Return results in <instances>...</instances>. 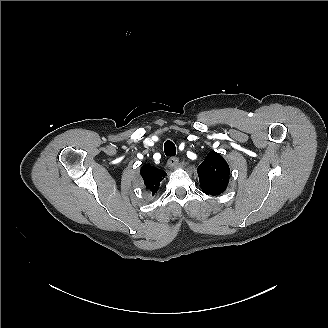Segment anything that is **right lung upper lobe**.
Returning a JSON list of instances; mask_svg holds the SVG:
<instances>
[{
  "label": "right lung upper lobe",
  "mask_w": 328,
  "mask_h": 328,
  "mask_svg": "<svg viewBox=\"0 0 328 328\" xmlns=\"http://www.w3.org/2000/svg\"><path fill=\"white\" fill-rule=\"evenodd\" d=\"M140 172L146 189L149 190L152 195L156 194L161 181L166 176V172L150 165L142 166Z\"/></svg>",
  "instance_id": "right-lung-upper-lobe-1"
}]
</instances>
